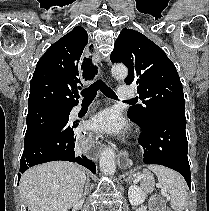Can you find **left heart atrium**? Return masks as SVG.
I'll use <instances>...</instances> for the list:
<instances>
[{"label": "left heart atrium", "mask_w": 209, "mask_h": 211, "mask_svg": "<svg viewBox=\"0 0 209 211\" xmlns=\"http://www.w3.org/2000/svg\"><path fill=\"white\" fill-rule=\"evenodd\" d=\"M89 127L103 134L118 135L124 132L126 122L117 109L107 108L92 117Z\"/></svg>", "instance_id": "left-heart-atrium-1"}]
</instances>
